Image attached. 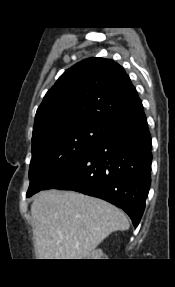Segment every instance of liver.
Listing matches in <instances>:
<instances>
[{"label": "liver", "mask_w": 175, "mask_h": 287, "mask_svg": "<svg viewBox=\"0 0 175 287\" xmlns=\"http://www.w3.org/2000/svg\"><path fill=\"white\" fill-rule=\"evenodd\" d=\"M31 215L39 259H83L112 232L129 228L120 209L73 191L40 192Z\"/></svg>", "instance_id": "obj_1"}]
</instances>
